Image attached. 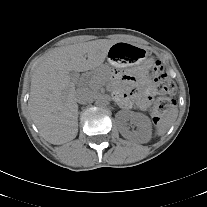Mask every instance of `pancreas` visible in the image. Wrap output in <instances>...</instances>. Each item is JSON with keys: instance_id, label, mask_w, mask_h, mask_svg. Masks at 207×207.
Segmentation results:
<instances>
[{"instance_id": "pancreas-1", "label": "pancreas", "mask_w": 207, "mask_h": 207, "mask_svg": "<svg viewBox=\"0 0 207 207\" xmlns=\"http://www.w3.org/2000/svg\"><path fill=\"white\" fill-rule=\"evenodd\" d=\"M109 75L106 73L105 68H98L94 71L89 81V86L96 90L99 86L103 84H110Z\"/></svg>"}]
</instances>
